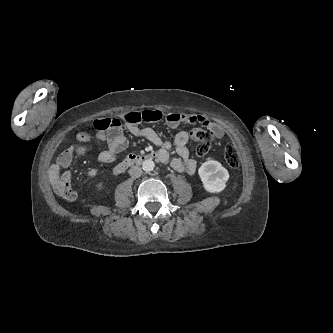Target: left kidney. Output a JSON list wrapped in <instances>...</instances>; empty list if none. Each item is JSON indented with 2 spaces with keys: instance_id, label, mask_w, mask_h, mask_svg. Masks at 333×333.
I'll list each match as a JSON object with an SVG mask.
<instances>
[{
  "instance_id": "5707ae66",
  "label": "left kidney",
  "mask_w": 333,
  "mask_h": 333,
  "mask_svg": "<svg viewBox=\"0 0 333 333\" xmlns=\"http://www.w3.org/2000/svg\"><path fill=\"white\" fill-rule=\"evenodd\" d=\"M199 176L206 191L211 193L221 192L226 187L229 173L218 161L209 160L201 165Z\"/></svg>"
}]
</instances>
